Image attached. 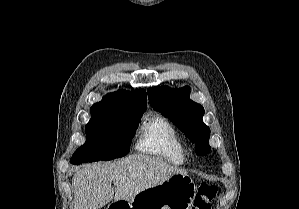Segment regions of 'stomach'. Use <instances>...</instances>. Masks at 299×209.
I'll list each match as a JSON object with an SVG mask.
<instances>
[{"mask_svg": "<svg viewBox=\"0 0 299 209\" xmlns=\"http://www.w3.org/2000/svg\"><path fill=\"white\" fill-rule=\"evenodd\" d=\"M197 186L185 174H173L132 198L115 200L108 209H192Z\"/></svg>", "mask_w": 299, "mask_h": 209, "instance_id": "1", "label": "stomach"}]
</instances>
